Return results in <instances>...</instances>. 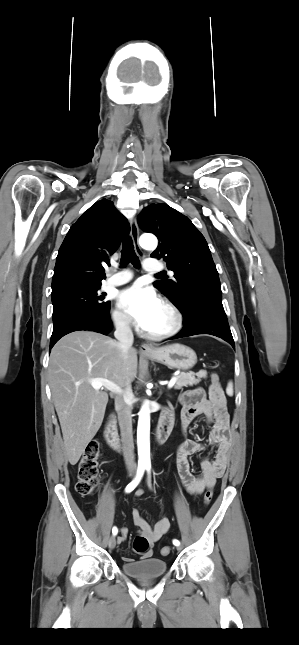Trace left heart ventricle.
<instances>
[{"label": "left heart ventricle", "instance_id": "1", "mask_svg": "<svg viewBox=\"0 0 299 645\" xmlns=\"http://www.w3.org/2000/svg\"><path fill=\"white\" fill-rule=\"evenodd\" d=\"M170 323L171 317L169 313L163 306H161L160 310L146 330L149 332H160L167 329L170 326Z\"/></svg>", "mask_w": 299, "mask_h": 645}]
</instances>
